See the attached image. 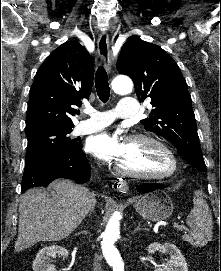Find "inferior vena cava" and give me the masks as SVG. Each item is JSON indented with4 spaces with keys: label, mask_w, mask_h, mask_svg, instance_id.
I'll use <instances>...</instances> for the list:
<instances>
[{
    "label": "inferior vena cava",
    "mask_w": 221,
    "mask_h": 271,
    "mask_svg": "<svg viewBox=\"0 0 221 271\" xmlns=\"http://www.w3.org/2000/svg\"><path fill=\"white\" fill-rule=\"evenodd\" d=\"M93 197V195H91ZM94 199V197H93ZM94 207V205H93ZM93 271H103L101 263H99V257L98 255H95L94 261H93Z\"/></svg>",
    "instance_id": "1"
}]
</instances>
